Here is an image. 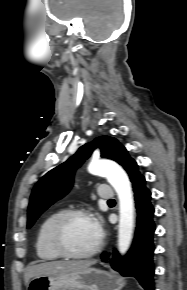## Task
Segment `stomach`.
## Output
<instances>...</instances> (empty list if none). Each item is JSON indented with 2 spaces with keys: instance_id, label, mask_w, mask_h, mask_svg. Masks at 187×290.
I'll use <instances>...</instances> for the list:
<instances>
[{
  "instance_id": "1",
  "label": "stomach",
  "mask_w": 187,
  "mask_h": 290,
  "mask_svg": "<svg viewBox=\"0 0 187 290\" xmlns=\"http://www.w3.org/2000/svg\"><path fill=\"white\" fill-rule=\"evenodd\" d=\"M124 285L125 281L113 273L87 267L34 277L27 290H121Z\"/></svg>"
}]
</instances>
